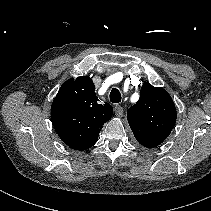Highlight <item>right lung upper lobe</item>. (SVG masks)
<instances>
[{
    "label": "right lung upper lobe",
    "instance_id": "right-lung-upper-lobe-1",
    "mask_svg": "<svg viewBox=\"0 0 211 211\" xmlns=\"http://www.w3.org/2000/svg\"><path fill=\"white\" fill-rule=\"evenodd\" d=\"M55 99H63L71 106L70 126L54 128L62 141L75 150L87 149L113 114L109 103L99 104L93 81L86 76L65 81Z\"/></svg>",
    "mask_w": 211,
    "mask_h": 211
}]
</instances>
